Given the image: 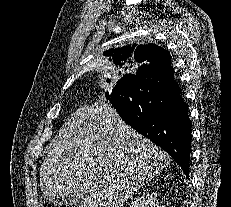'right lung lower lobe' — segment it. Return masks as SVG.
<instances>
[{
	"label": "right lung lower lobe",
	"instance_id": "obj_1",
	"mask_svg": "<svg viewBox=\"0 0 231 207\" xmlns=\"http://www.w3.org/2000/svg\"><path fill=\"white\" fill-rule=\"evenodd\" d=\"M173 72L156 64L140 67L106 97L127 124L169 153L189 177L191 122Z\"/></svg>",
	"mask_w": 231,
	"mask_h": 207
}]
</instances>
